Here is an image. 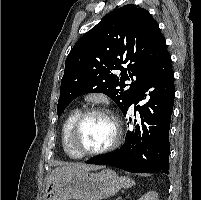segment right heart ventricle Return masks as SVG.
<instances>
[{"instance_id":"1","label":"right heart ventricle","mask_w":201,"mask_h":200,"mask_svg":"<svg viewBox=\"0 0 201 200\" xmlns=\"http://www.w3.org/2000/svg\"><path fill=\"white\" fill-rule=\"evenodd\" d=\"M80 114L79 109H73L66 117L61 130V146L63 149V152L66 154L67 157L71 159H77L78 157L73 153L71 150L69 143H68V134L69 130L77 118V116Z\"/></svg>"}]
</instances>
